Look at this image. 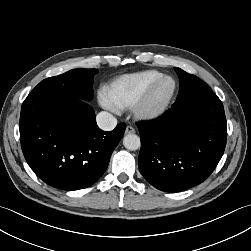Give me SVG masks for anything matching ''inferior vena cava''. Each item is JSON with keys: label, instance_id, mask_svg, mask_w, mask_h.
Masks as SVG:
<instances>
[{"label": "inferior vena cava", "instance_id": "1", "mask_svg": "<svg viewBox=\"0 0 251 251\" xmlns=\"http://www.w3.org/2000/svg\"><path fill=\"white\" fill-rule=\"evenodd\" d=\"M96 121L99 128L104 131L113 130L117 124L116 118L112 114L105 111L98 113Z\"/></svg>", "mask_w": 251, "mask_h": 251}]
</instances>
